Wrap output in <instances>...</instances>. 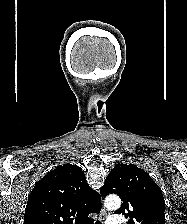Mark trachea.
Segmentation results:
<instances>
[{
  "mask_svg": "<svg viewBox=\"0 0 187 224\" xmlns=\"http://www.w3.org/2000/svg\"><path fill=\"white\" fill-rule=\"evenodd\" d=\"M96 224H101V222L100 221H96Z\"/></svg>",
  "mask_w": 187,
  "mask_h": 224,
  "instance_id": "1",
  "label": "trachea"
}]
</instances>
